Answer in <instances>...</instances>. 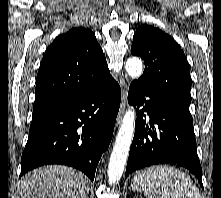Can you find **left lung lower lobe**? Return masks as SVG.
Returning a JSON list of instances; mask_svg holds the SVG:
<instances>
[{
    "instance_id": "1",
    "label": "left lung lower lobe",
    "mask_w": 221,
    "mask_h": 198,
    "mask_svg": "<svg viewBox=\"0 0 221 198\" xmlns=\"http://www.w3.org/2000/svg\"><path fill=\"white\" fill-rule=\"evenodd\" d=\"M128 102L137 107L138 114L125 178L151 165L175 164L191 171L203 187L193 119L181 114L154 90L137 81L130 85ZM144 112L149 115V124L143 119Z\"/></svg>"
}]
</instances>
